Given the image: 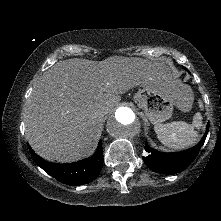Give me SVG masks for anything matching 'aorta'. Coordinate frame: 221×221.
Returning <instances> with one entry per match:
<instances>
[{"label": "aorta", "mask_w": 221, "mask_h": 221, "mask_svg": "<svg viewBox=\"0 0 221 221\" xmlns=\"http://www.w3.org/2000/svg\"><path fill=\"white\" fill-rule=\"evenodd\" d=\"M106 129L115 138L129 139L138 134L140 124L132 109L119 107L115 114L108 119Z\"/></svg>", "instance_id": "1"}]
</instances>
